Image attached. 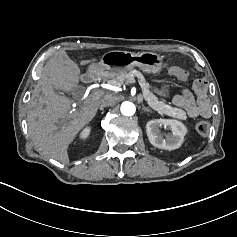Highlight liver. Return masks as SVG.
I'll return each instance as SVG.
<instances>
[{
  "instance_id": "liver-1",
  "label": "liver",
  "mask_w": 237,
  "mask_h": 237,
  "mask_svg": "<svg viewBox=\"0 0 237 237\" xmlns=\"http://www.w3.org/2000/svg\"><path fill=\"white\" fill-rule=\"evenodd\" d=\"M90 61L83 60L81 65ZM80 69L68 55H54L47 63L45 73L38 81L35 95L28 104V130L31 139L41 155L50 156L63 164L69 163L67 148L77 133L95 116L99 100L72 111L71 102L53 91V86L69 92L77 87Z\"/></svg>"
}]
</instances>
